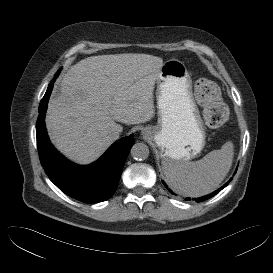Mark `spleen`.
<instances>
[{
	"label": "spleen",
	"instance_id": "3e777b00",
	"mask_svg": "<svg viewBox=\"0 0 273 273\" xmlns=\"http://www.w3.org/2000/svg\"><path fill=\"white\" fill-rule=\"evenodd\" d=\"M234 156L231 141L193 162L163 160L162 168L167 182L186 196H203L214 191L230 170Z\"/></svg>",
	"mask_w": 273,
	"mask_h": 273
}]
</instances>
